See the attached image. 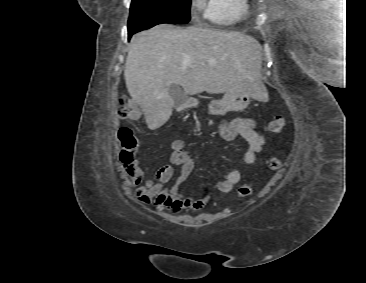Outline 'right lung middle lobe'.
<instances>
[{
	"mask_svg": "<svg viewBox=\"0 0 366 283\" xmlns=\"http://www.w3.org/2000/svg\"><path fill=\"white\" fill-rule=\"evenodd\" d=\"M191 0H132L128 32H139L157 24H185L190 20Z\"/></svg>",
	"mask_w": 366,
	"mask_h": 283,
	"instance_id": "right-lung-middle-lobe-1",
	"label": "right lung middle lobe"
}]
</instances>
